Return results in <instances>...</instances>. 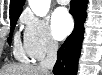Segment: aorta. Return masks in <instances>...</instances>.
Instances as JSON below:
<instances>
[{
	"label": "aorta",
	"instance_id": "aorta-1",
	"mask_svg": "<svg viewBox=\"0 0 102 75\" xmlns=\"http://www.w3.org/2000/svg\"><path fill=\"white\" fill-rule=\"evenodd\" d=\"M31 10L39 17H44L50 8L51 0H28Z\"/></svg>",
	"mask_w": 102,
	"mask_h": 75
}]
</instances>
